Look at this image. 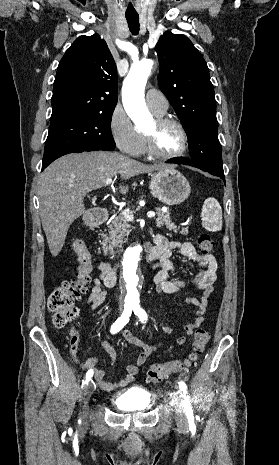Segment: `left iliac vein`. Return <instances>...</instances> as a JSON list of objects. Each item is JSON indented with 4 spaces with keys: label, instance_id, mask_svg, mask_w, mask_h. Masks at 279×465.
I'll return each mask as SVG.
<instances>
[{
    "label": "left iliac vein",
    "instance_id": "obj_1",
    "mask_svg": "<svg viewBox=\"0 0 279 465\" xmlns=\"http://www.w3.org/2000/svg\"><path fill=\"white\" fill-rule=\"evenodd\" d=\"M175 400V413H176V421L179 425L185 426L187 424L186 413L184 409V401L182 398V394L180 391H177L174 395Z\"/></svg>",
    "mask_w": 279,
    "mask_h": 465
}]
</instances>
